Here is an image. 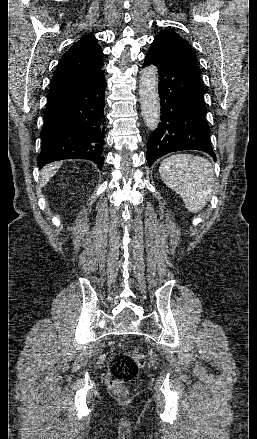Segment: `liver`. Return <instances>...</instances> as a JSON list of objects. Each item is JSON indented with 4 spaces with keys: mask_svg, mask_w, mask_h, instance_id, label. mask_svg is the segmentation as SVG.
I'll return each mask as SVG.
<instances>
[{
    "mask_svg": "<svg viewBox=\"0 0 257 439\" xmlns=\"http://www.w3.org/2000/svg\"><path fill=\"white\" fill-rule=\"evenodd\" d=\"M60 163L46 166L41 173V186H45L60 168Z\"/></svg>",
    "mask_w": 257,
    "mask_h": 439,
    "instance_id": "1",
    "label": "liver"
}]
</instances>
